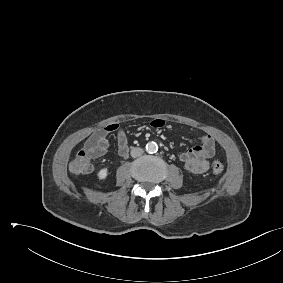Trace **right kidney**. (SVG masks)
Instances as JSON below:
<instances>
[{
  "mask_svg": "<svg viewBox=\"0 0 283 283\" xmlns=\"http://www.w3.org/2000/svg\"><path fill=\"white\" fill-rule=\"evenodd\" d=\"M99 180H104L108 176V168H102L97 174Z\"/></svg>",
  "mask_w": 283,
  "mask_h": 283,
  "instance_id": "obj_1",
  "label": "right kidney"
}]
</instances>
